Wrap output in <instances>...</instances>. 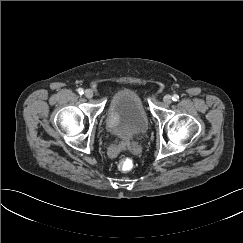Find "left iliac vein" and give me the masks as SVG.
<instances>
[{
	"label": "left iliac vein",
	"instance_id": "4c4485c4",
	"mask_svg": "<svg viewBox=\"0 0 243 243\" xmlns=\"http://www.w3.org/2000/svg\"><path fill=\"white\" fill-rule=\"evenodd\" d=\"M163 101L165 104H170L172 102V97L171 95H165L163 98Z\"/></svg>",
	"mask_w": 243,
	"mask_h": 243
}]
</instances>
